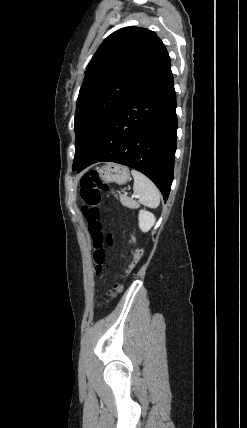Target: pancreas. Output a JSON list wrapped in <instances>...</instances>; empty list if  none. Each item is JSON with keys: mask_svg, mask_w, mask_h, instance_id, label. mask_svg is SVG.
Segmentation results:
<instances>
[{"mask_svg": "<svg viewBox=\"0 0 247 428\" xmlns=\"http://www.w3.org/2000/svg\"><path fill=\"white\" fill-rule=\"evenodd\" d=\"M120 201H121L123 206H126V207L131 208V209H136L139 207V204L135 200L127 197L124 194L120 195Z\"/></svg>", "mask_w": 247, "mask_h": 428, "instance_id": "pancreas-1", "label": "pancreas"}]
</instances>
